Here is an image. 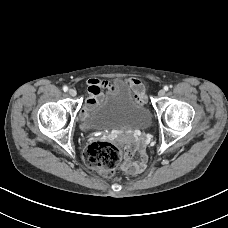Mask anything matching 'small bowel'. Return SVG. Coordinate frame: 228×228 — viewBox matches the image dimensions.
I'll return each instance as SVG.
<instances>
[{
  "label": "small bowel",
  "mask_w": 228,
  "mask_h": 228,
  "mask_svg": "<svg viewBox=\"0 0 228 228\" xmlns=\"http://www.w3.org/2000/svg\"><path fill=\"white\" fill-rule=\"evenodd\" d=\"M133 88L135 95L138 99H144V87L142 83L134 78H130L127 81ZM87 94L85 96L84 113H87L93 108L102 95L103 90L108 87V82L103 79H89L87 81ZM136 150L139 151V160L134 161V154ZM147 153L146 150L139 144H129L125 150V159L123 169L129 174L142 173L147 167Z\"/></svg>",
  "instance_id": "c3829d8e"
}]
</instances>
